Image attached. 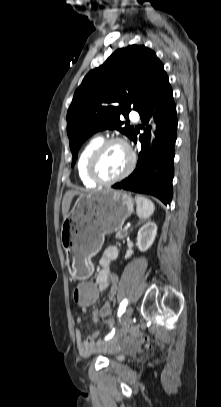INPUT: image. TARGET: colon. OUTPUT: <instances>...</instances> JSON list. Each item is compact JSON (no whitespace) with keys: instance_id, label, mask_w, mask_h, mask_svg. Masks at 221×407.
Masks as SVG:
<instances>
[{"instance_id":"colon-1","label":"colon","mask_w":221,"mask_h":407,"mask_svg":"<svg viewBox=\"0 0 221 407\" xmlns=\"http://www.w3.org/2000/svg\"><path fill=\"white\" fill-rule=\"evenodd\" d=\"M98 298L97 284L93 283L91 278H87L85 283H74V291L72 292L73 304L78 306L80 311H89L90 307L96 304ZM112 316V307L110 305H103L101 312L95 314L94 318L96 322H110L112 324L113 320L109 319ZM147 346H149V343H147Z\"/></svg>"}]
</instances>
